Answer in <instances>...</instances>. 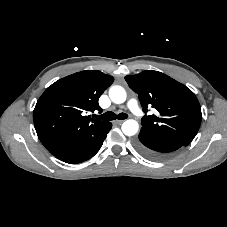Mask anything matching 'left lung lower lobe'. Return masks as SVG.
<instances>
[{
	"instance_id": "obj_1",
	"label": "left lung lower lobe",
	"mask_w": 227,
	"mask_h": 227,
	"mask_svg": "<svg viewBox=\"0 0 227 227\" xmlns=\"http://www.w3.org/2000/svg\"><path fill=\"white\" fill-rule=\"evenodd\" d=\"M182 146L185 145L176 140L142 130L135 141L136 149L142 155L154 160L164 159Z\"/></svg>"
}]
</instances>
